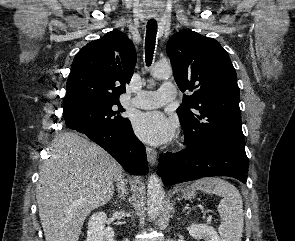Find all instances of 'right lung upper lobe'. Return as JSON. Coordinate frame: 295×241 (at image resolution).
<instances>
[{
  "label": "right lung upper lobe",
  "instance_id": "1",
  "mask_svg": "<svg viewBox=\"0 0 295 241\" xmlns=\"http://www.w3.org/2000/svg\"><path fill=\"white\" fill-rule=\"evenodd\" d=\"M136 64L133 43L113 30L81 48L67 80L63 112L80 106L119 102Z\"/></svg>",
  "mask_w": 295,
  "mask_h": 241
}]
</instances>
